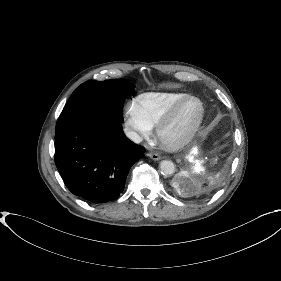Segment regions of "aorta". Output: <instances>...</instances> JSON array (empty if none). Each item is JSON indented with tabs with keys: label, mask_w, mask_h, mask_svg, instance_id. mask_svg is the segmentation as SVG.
<instances>
[{
	"label": "aorta",
	"mask_w": 281,
	"mask_h": 281,
	"mask_svg": "<svg viewBox=\"0 0 281 281\" xmlns=\"http://www.w3.org/2000/svg\"><path fill=\"white\" fill-rule=\"evenodd\" d=\"M161 173L165 176H170L175 172V165L170 160H163L160 162Z\"/></svg>",
	"instance_id": "1"
}]
</instances>
